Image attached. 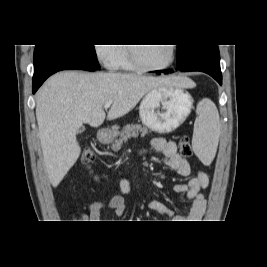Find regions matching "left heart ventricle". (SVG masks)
Wrapping results in <instances>:
<instances>
[{
	"label": "left heart ventricle",
	"mask_w": 267,
	"mask_h": 267,
	"mask_svg": "<svg viewBox=\"0 0 267 267\" xmlns=\"http://www.w3.org/2000/svg\"><path fill=\"white\" fill-rule=\"evenodd\" d=\"M139 60L148 66H161L167 63L171 56L169 44L158 46H135Z\"/></svg>",
	"instance_id": "left-heart-ventricle-1"
}]
</instances>
